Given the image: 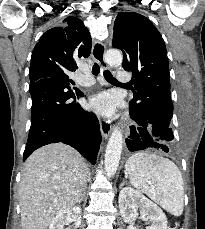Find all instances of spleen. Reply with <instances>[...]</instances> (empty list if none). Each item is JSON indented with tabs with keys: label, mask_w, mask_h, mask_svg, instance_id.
Listing matches in <instances>:
<instances>
[{
	"label": "spleen",
	"mask_w": 205,
	"mask_h": 229,
	"mask_svg": "<svg viewBox=\"0 0 205 229\" xmlns=\"http://www.w3.org/2000/svg\"><path fill=\"white\" fill-rule=\"evenodd\" d=\"M132 186L174 216L184 207V182L179 168L169 159L138 152L125 164Z\"/></svg>",
	"instance_id": "spleen-1"
}]
</instances>
